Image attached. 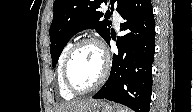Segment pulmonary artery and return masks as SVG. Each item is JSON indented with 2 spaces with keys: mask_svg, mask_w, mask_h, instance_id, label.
<instances>
[{
  "mask_svg": "<svg viewBox=\"0 0 193 112\" xmlns=\"http://www.w3.org/2000/svg\"><path fill=\"white\" fill-rule=\"evenodd\" d=\"M113 20H114V23L116 26H118L120 21H121V17L119 15V13L116 11L113 12Z\"/></svg>",
  "mask_w": 193,
  "mask_h": 112,
  "instance_id": "pulmonary-artery-1",
  "label": "pulmonary artery"
}]
</instances>
